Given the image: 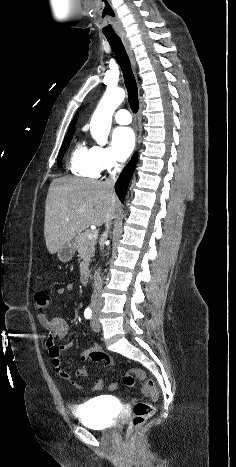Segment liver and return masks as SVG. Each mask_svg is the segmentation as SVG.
Here are the masks:
<instances>
[{
	"instance_id": "6515ba94",
	"label": "liver",
	"mask_w": 236,
	"mask_h": 467,
	"mask_svg": "<svg viewBox=\"0 0 236 467\" xmlns=\"http://www.w3.org/2000/svg\"><path fill=\"white\" fill-rule=\"evenodd\" d=\"M117 198L104 182L80 178H56L52 181L45 204L44 236L50 254H54L77 233L91 225L100 227L110 220Z\"/></svg>"
}]
</instances>
